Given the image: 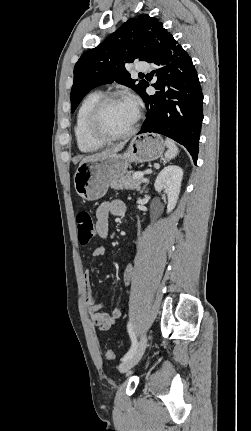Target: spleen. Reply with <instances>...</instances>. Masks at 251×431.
<instances>
[{
  "instance_id": "obj_1",
  "label": "spleen",
  "mask_w": 251,
  "mask_h": 431,
  "mask_svg": "<svg viewBox=\"0 0 251 431\" xmlns=\"http://www.w3.org/2000/svg\"><path fill=\"white\" fill-rule=\"evenodd\" d=\"M165 145L168 148V150L165 152V159L169 161L177 156L179 149L175 142L168 138L165 139Z\"/></svg>"
}]
</instances>
